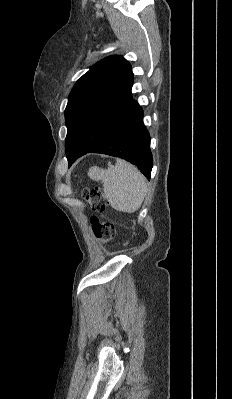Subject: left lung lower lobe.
Segmentation results:
<instances>
[{
    "instance_id": "obj_1",
    "label": "left lung lower lobe",
    "mask_w": 232,
    "mask_h": 399,
    "mask_svg": "<svg viewBox=\"0 0 232 399\" xmlns=\"http://www.w3.org/2000/svg\"><path fill=\"white\" fill-rule=\"evenodd\" d=\"M87 153L123 158L136 165L150 179L153 164L150 135L143 123V110L139 104L135 101L129 113L113 131Z\"/></svg>"
}]
</instances>
